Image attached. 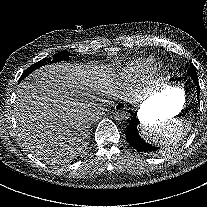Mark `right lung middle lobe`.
Wrapping results in <instances>:
<instances>
[{
  "mask_svg": "<svg viewBox=\"0 0 207 207\" xmlns=\"http://www.w3.org/2000/svg\"><path fill=\"white\" fill-rule=\"evenodd\" d=\"M70 55L71 54L69 52L62 51V52H59V53L55 54L52 58L49 57V58H46L42 61H38L37 63L31 65L29 68H27L25 70V72L20 77L18 83H20L25 77H27L34 70L42 67L43 65H46V64H49V63H56V62H59V61H62V60H68Z\"/></svg>",
  "mask_w": 207,
  "mask_h": 207,
  "instance_id": "obj_1",
  "label": "right lung middle lobe"
}]
</instances>
